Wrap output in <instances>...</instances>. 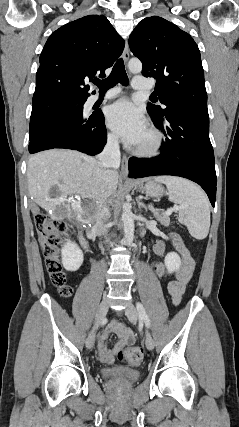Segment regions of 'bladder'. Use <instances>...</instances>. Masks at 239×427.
<instances>
[{"label":"bladder","mask_w":239,"mask_h":427,"mask_svg":"<svg viewBox=\"0 0 239 427\" xmlns=\"http://www.w3.org/2000/svg\"><path fill=\"white\" fill-rule=\"evenodd\" d=\"M101 373L108 380L124 383L134 382L140 377L139 371L122 368H106Z\"/></svg>","instance_id":"obj_1"}]
</instances>
